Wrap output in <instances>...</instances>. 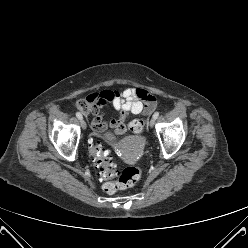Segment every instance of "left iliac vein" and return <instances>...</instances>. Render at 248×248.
Masks as SVG:
<instances>
[{
  "instance_id": "obj_1",
  "label": "left iliac vein",
  "mask_w": 248,
  "mask_h": 248,
  "mask_svg": "<svg viewBox=\"0 0 248 248\" xmlns=\"http://www.w3.org/2000/svg\"><path fill=\"white\" fill-rule=\"evenodd\" d=\"M154 123H155V119L152 118L150 121H149V126L152 128L154 126Z\"/></svg>"
}]
</instances>
